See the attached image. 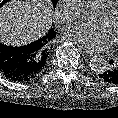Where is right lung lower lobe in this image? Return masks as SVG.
Segmentation results:
<instances>
[{"label":"right lung lower lobe","mask_w":118,"mask_h":118,"mask_svg":"<svg viewBox=\"0 0 118 118\" xmlns=\"http://www.w3.org/2000/svg\"><path fill=\"white\" fill-rule=\"evenodd\" d=\"M41 71L36 70V55L31 45L10 47L0 43V73L15 82H25Z\"/></svg>","instance_id":"right-lung-lower-lobe-1"}]
</instances>
